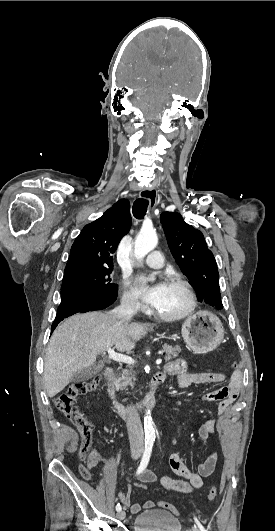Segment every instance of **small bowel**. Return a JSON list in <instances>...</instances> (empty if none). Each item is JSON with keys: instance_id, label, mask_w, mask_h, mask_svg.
<instances>
[{"instance_id": "small-bowel-1", "label": "small bowel", "mask_w": 275, "mask_h": 531, "mask_svg": "<svg viewBox=\"0 0 275 531\" xmlns=\"http://www.w3.org/2000/svg\"><path fill=\"white\" fill-rule=\"evenodd\" d=\"M165 373L168 376H175L177 385L180 388H188L195 384H220L226 381V375L221 372H190L188 371L187 363L182 359H176L166 365ZM242 384V373L234 371L227 386L228 396L222 399L217 408V414L223 415L238 397ZM204 401L219 400L215 393H208L202 396ZM215 433V419L206 420L199 428L198 435L202 446L206 449L209 439ZM81 448V446H80ZM88 459H98L100 462L101 455L98 451H92ZM218 462V455L215 450L206 453L203 459L198 463L196 470L187 466L184 455L177 450L170 454L168 464L170 468L185 480L164 476L160 479L161 485L168 491L179 493H191L195 489L203 486V479L210 477ZM82 477H93V475H82ZM142 479L146 484L155 483L157 481L156 474L146 468H140L137 472V480ZM132 487L126 486L119 495V500L122 505L129 508L133 515L141 512L142 508L150 510L154 507L151 500H146L143 505L139 503H131Z\"/></svg>"}]
</instances>
